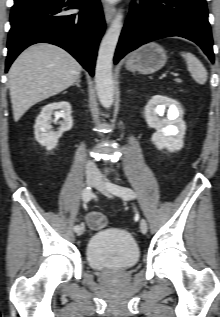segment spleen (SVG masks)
Masks as SVG:
<instances>
[{
	"instance_id": "obj_1",
	"label": "spleen",
	"mask_w": 220,
	"mask_h": 317,
	"mask_svg": "<svg viewBox=\"0 0 220 317\" xmlns=\"http://www.w3.org/2000/svg\"><path fill=\"white\" fill-rule=\"evenodd\" d=\"M181 55L186 61L187 69L190 72L192 78L198 84H205L207 81V71L199 59L189 52H182Z\"/></svg>"
}]
</instances>
